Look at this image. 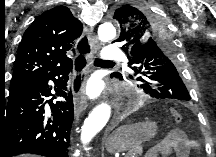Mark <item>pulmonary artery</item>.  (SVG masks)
Instances as JSON below:
<instances>
[{
	"label": "pulmonary artery",
	"instance_id": "1",
	"mask_svg": "<svg viewBox=\"0 0 216 157\" xmlns=\"http://www.w3.org/2000/svg\"><path fill=\"white\" fill-rule=\"evenodd\" d=\"M124 56L123 52L116 46H107L101 54V58L104 61H114L121 59Z\"/></svg>",
	"mask_w": 216,
	"mask_h": 157
}]
</instances>
